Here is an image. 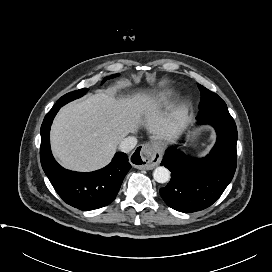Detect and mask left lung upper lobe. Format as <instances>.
<instances>
[{"label": "left lung upper lobe", "mask_w": 272, "mask_h": 272, "mask_svg": "<svg viewBox=\"0 0 272 272\" xmlns=\"http://www.w3.org/2000/svg\"><path fill=\"white\" fill-rule=\"evenodd\" d=\"M201 91V102L199 105L200 112L214 108L227 107L226 103L215 93L198 85Z\"/></svg>", "instance_id": "5c2ea615"}]
</instances>
